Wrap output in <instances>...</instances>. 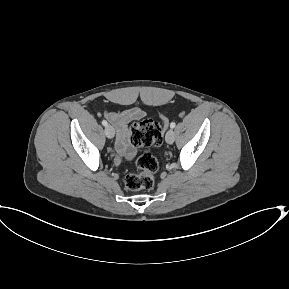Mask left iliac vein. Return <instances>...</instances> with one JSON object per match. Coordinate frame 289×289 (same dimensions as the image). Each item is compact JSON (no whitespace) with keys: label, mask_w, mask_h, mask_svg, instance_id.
<instances>
[{"label":"left iliac vein","mask_w":289,"mask_h":289,"mask_svg":"<svg viewBox=\"0 0 289 289\" xmlns=\"http://www.w3.org/2000/svg\"><path fill=\"white\" fill-rule=\"evenodd\" d=\"M165 140L168 144H172L175 140V133L172 129H169L166 133Z\"/></svg>","instance_id":"1"}]
</instances>
